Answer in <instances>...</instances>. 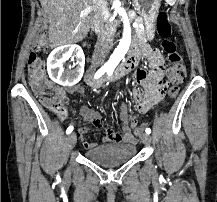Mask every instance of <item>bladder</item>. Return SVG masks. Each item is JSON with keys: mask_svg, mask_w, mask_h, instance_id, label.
<instances>
[{"mask_svg": "<svg viewBox=\"0 0 217 202\" xmlns=\"http://www.w3.org/2000/svg\"><path fill=\"white\" fill-rule=\"evenodd\" d=\"M136 152L131 144L104 145L93 150H86V156L102 166H114L128 162Z\"/></svg>", "mask_w": 217, "mask_h": 202, "instance_id": "31cf9c89", "label": "bladder"}]
</instances>
